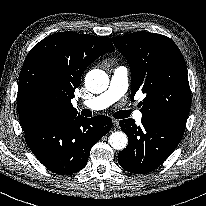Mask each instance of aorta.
Wrapping results in <instances>:
<instances>
[{
    "label": "aorta",
    "mask_w": 206,
    "mask_h": 206,
    "mask_svg": "<svg viewBox=\"0 0 206 206\" xmlns=\"http://www.w3.org/2000/svg\"><path fill=\"white\" fill-rule=\"evenodd\" d=\"M109 85L108 75L100 69H94L85 77L86 88L95 94L104 92ZM128 138L124 132L117 131L110 135L109 144L116 150H122L127 146Z\"/></svg>",
    "instance_id": "1"
}]
</instances>
